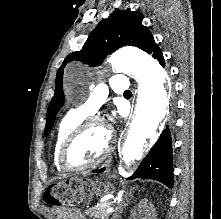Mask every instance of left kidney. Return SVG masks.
<instances>
[{"instance_id":"1","label":"left kidney","mask_w":221,"mask_h":219,"mask_svg":"<svg viewBox=\"0 0 221 219\" xmlns=\"http://www.w3.org/2000/svg\"><path fill=\"white\" fill-rule=\"evenodd\" d=\"M132 219H157L154 206L147 199L141 200L131 215Z\"/></svg>"}]
</instances>
